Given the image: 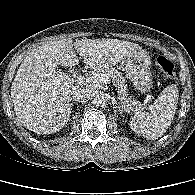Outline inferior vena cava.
Instances as JSON below:
<instances>
[{
  "instance_id": "inferior-vena-cava-1",
  "label": "inferior vena cava",
  "mask_w": 195,
  "mask_h": 195,
  "mask_svg": "<svg viewBox=\"0 0 195 195\" xmlns=\"http://www.w3.org/2000/svg\"><path fill=\"white\" fill-rule=\"evenodd\" d=\"M71 95L74 101L84 103L90 98L91 92L89 89L77 85L73 87Z\"/></svg>"
}]
</instances>
